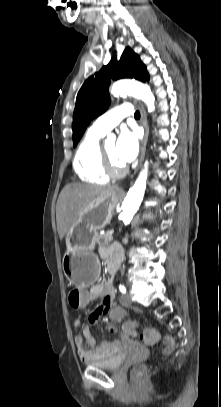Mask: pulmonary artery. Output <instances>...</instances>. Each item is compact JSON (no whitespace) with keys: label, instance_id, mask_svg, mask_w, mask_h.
Segmentation results:
<instances>
[{"label":"pulmonary artery","instance_id":"pulmonary-artery-1","mask_svg":"<svg viewBox=\"0 0 221 407\" xmlns=\"http://www.w3.org/2000/svg\"><path fill=\"white\" fill-rule=\"evenodd\" d=\"M133 112L131 104L119 105L98 117L92 123L90 130L104 135L117 126L123 118L131 116Z\"/></svg>","mask_w":221,"mask_h":407}]
</instances>
